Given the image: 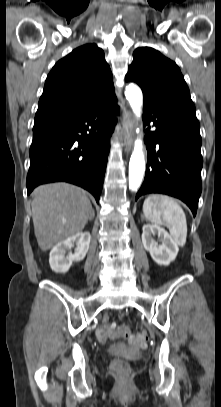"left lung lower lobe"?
<instances>
[{"label":"left lung lower lobe","mask_w":221,"mask_h":407,"mask_svg":"<svg viewBox=\"0 0 221 407\" xmlns=\"http://www.w3.org/2000/svg\"><path fill=\"white\" fill-rule=\"evenodd\" d=\"M147 167L136 195L162 193L181 199L196 215L202 190L200 126L193 103L144 104ZM151 127L149 126V129Z\"/></svg>","instance_id":"obj_1"}]
</instances>
